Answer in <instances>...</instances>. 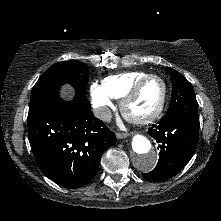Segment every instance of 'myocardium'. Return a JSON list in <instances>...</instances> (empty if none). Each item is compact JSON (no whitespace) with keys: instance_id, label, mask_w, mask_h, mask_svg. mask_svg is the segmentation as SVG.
I'll use <instances>...</instances> for the list:
<instances>
[{"instance_id":"myocardium-1","label":"myocardium","mask_w":221,"mask_h":221,"mask_svg":"<svg viewBox=\"0 0 221 221\" xmlns=\"http://www.w3.org/2000/svg\"><path fill=\"white\" fill-rule=\"evenodd\" d=\"M151 79L159 80L163 87L162 97L159 102V105L151 114L147 116L137 117V116L131 115L128 111V106L130 102L138 95V93L140 92L144 84ZM167 94H168V87H167L166 81L159 75L148 74L144 76L143 78L139 79L121 99V102H120L121 113L126 120L134 124H139V125L149 124L155 121L162 114L165 104H166Z\"/></svg>"}]
</instances>
